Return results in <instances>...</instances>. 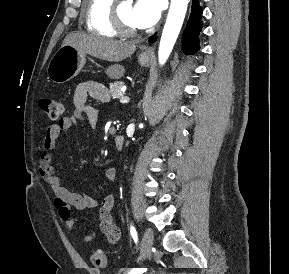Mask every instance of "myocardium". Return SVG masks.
<instances>
[{
  "label": "myocardium",
  "instance_id": "obj_1",
  "mask_svg": "<svg viewBox=\"0 0 289 274\" xmlns=\"http://www.w3.org/2000/svg\"><path fill=\"white\" fill-rule=\"evenodd\" d=\"M119 2H114L111 10V20L115 31L122 36L132 37L138 34L136 28L128 26L120 16L119 13Z\"/></svg>",
  "mask_w": 289,
  "mask_h": 274
}]
</instances>
